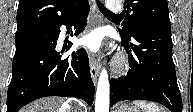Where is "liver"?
Here are the masks:
<instances>
[{"label": "liver", "mask_w": 193, "mask_h": 112, "mask_svg": "<svg viewBox=\"0 0 193 112\" xmlns=\"http://www.w3.org/2000/svg\"><path fill=\"white\" fill-rule=\"evenodd\" d=\"M76 109L82 110L81 107L70 102L65 103L56 97H46L24 107L20 112H74Z\"/></svg>", "instance_id": "liver-1"}]
</instances>
